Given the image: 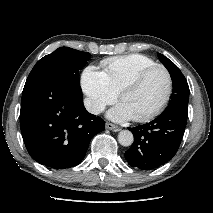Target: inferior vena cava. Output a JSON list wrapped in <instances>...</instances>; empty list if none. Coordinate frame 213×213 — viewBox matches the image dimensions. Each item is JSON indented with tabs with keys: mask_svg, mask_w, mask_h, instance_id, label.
I'll return each instance as SVG.
<instances>
[{
	"mask_svg": "<svg viewBox=\"0 0 213 213\" xmlns=\"http://www.w3.org/2000/svg\"><path fill=\"white\" fill-rule=\"evenodd\" d=\"M84 106L92 114H99L105 109L104 105L101 103L92 101L88 98L84 99Z\"/></svg>",
	"mask_w": 213,
	"mask_h": 213,
	"instance_id": "1",
	"label": "inferior vena cava"
}]
</instances>
